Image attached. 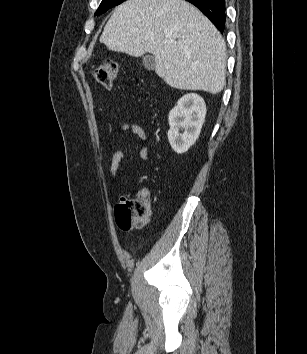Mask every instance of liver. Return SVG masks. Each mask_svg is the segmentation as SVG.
I'll return each mask as SVG.
<instances>
[{
	"label": "liver",
	"mask_w": 307,
	"mask_h": 354,
	"mask_svg": "<svg viewBox=\"0 0 307 354\" xmlns=\"http://www.w3.org/2000/svg\"><path fill=\"white\" fill-rule=\"evenodd\" d=\"M100 42L133 57L153 54L157 75L173 88L217 94L225 85V42L184 0H127L111 15Z\"/></svg>",
	"instance_id": "liver-1"
}]
</instances>
